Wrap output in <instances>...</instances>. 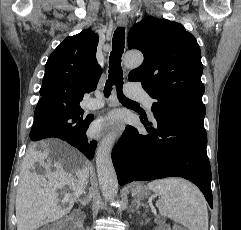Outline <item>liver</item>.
<instances>
[{"label":"liver","instance_id":"1","mask_svg":"<svg viewBox=\"0 0 241 230\" xmlns=\"http://www.w3.org/2000/svg\"><path fill=\"white\" fill-rule=\"evenodd\" d=\"M51 145L59 156L54 162L49 158L51 150L47 145H43L42 150H37L36 145L27 150L16 196L17 230H34L61 218L71 210L88 184L86 158L64 142L52 141ZM35 163L45 168L44 175L33 171ZM65 186L70 187L72 194L67 195L68 206L62 207L58 204L57 190Z\"/></svg>","mask_w":241,"mask_h":230}]
</instances>
